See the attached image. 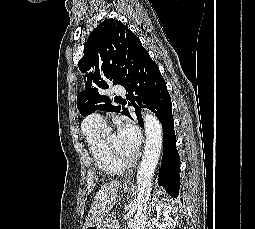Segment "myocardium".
<instances>
[{
  "label": "myocardium",
  "instance_id": "f54148a6",
  "mask_svg": "<svg viewBox=\"0 0 255 229\" xmlns=\"http://www.w3.org/2000/svg\"><path fill=\"white\" fill-rule=\"evenodd\" d=\"M102 147H103V150L104 152L107 154V156L113 161L115 162L116 164H118L119 166L123 167L124 169L126 167H130L132 166L136 159H137V155H133L131 158L127 159V160H124L120 157H118L116 154H114L107 146L106 142H105V139L102 138Z\"/></svg>",
  "mask_w": 255,
  "mask_h": 229
}]
</instances>
